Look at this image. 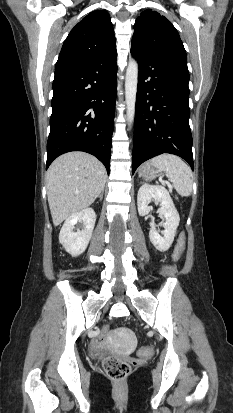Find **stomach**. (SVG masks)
Returning a JSON list of instances; mask_svg holds the SVG:
<instances>
[{
	"instance_id": "0dacf381",
	"label": "stomach",
	"mask_w": 233,
	"mask_h": 413,
	"mask_svg": "<svg viewBox=\"0 0 233 413\" xmlns=\"http://www.w3.org/2000/svg\"><path fill=\"white\" fill-rule=\"evenodd\" d=\"M159 171L150 163L142 165L138 171L140 177L146 181H151L157 177Z\"/></svg>"
}]
</instances>
